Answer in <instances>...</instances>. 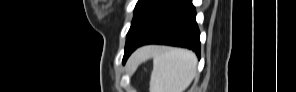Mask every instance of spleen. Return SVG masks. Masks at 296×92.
<instances>
[{"instance_id": "1", "label": "spleen", "mask_w": 296, "mask_h": 92, "mask_svg": "<svg viewBox=\"0 0 296 92\" xmlns=\"http://www.w3.org/2000/svg\"><path fill=\"white\" fill-rule=\"evenodd\" d=\"M140 57H153L150 92H184L196 75L197 57L189 50L158 46Z\"/></svg>"}]
</instances>
